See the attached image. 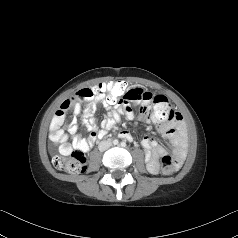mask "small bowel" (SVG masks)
<instances>
[{
  "label": "small bowel",
  "mask_w": 238,
  "mask_h": 238,
  "mask_svg": "<svg viewBox=\"0 0 238 238\" xmlns=\"http://www.w3.org/2000/svg\"><path fill=\"white\" fill-rule=\"evenodd\" d=\"M154 96L147 90L141 87H132L125 94L123 100L119 103H109L103 97H97L91 100L83 110V105L74 101L72 98L62 102L60 108L56 111L50 124L51 139L54 143L59 144V152L63 155H68L72 148L81 151H88L96 139L103 138L108 131L124 117L126 120L134 118L131 105H138L140 112L145 120H149L148 106L153 102ZM98 106H102L106 111V116L102 122V127H97V119L94 112ZM73 108L74 117L69 124V133L74 134L77 130L78 118L86 130L89 132V137L83 139L79 136H74L71 141L68 134L61 129L65 121L66 111ZM157 130L162 136L169 141L173 148V154L178 161L182 160L186 149V129L182 121L181 115L175 112V116L168 122H158ZM120 137L126 140H132V135L128 130L120 131ZM142 147L145 150V160L147 168L151 173H157L159 170V159L167 153V149L160 145L152 137H144L142 139Z\"/></svg>",
  "instance_id": "obj_1"
}]
</instances>
